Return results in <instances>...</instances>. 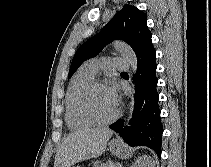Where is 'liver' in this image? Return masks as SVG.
<instances>
[{
	"label": "liver",
	"mask_w": 211,
	"mask_h": 167,
	"mask_svg": "<svg viewBox=\"0 0 211 167\" xmlns=\"http://www.w3.org/2000/svg\"><path fill=\"white\" fill-rule=\"evenodd\" d=\"M113 131L108 128H85L70 133L58 146L54 167L72 165L100 156Z\"/></svg>",
	"instance_id": "1"
}]
</instances>
